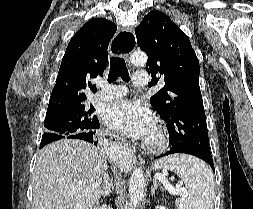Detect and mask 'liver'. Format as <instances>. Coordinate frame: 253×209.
<instances>
[{
    "mask_svg": "<svg viewBox=\"0 0 253 209\" xmlns=\"http://www.w3.org/2000/svg\"><path fill=\"white\" fill-rule=\"evenodd\" d=\"M107 168L104 152L88 142L45 146L33 174L34 209H96Z\"/></svg>",
    "mask_w": 253,
    "mask_h": 209,
    "instance_id": "obj_1",
    "label": "liver"
}]
</instances>
